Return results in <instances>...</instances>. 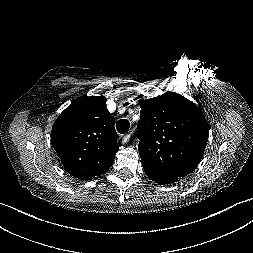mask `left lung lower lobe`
<instances>
[{
	"label": "left lung lower lobe",
	"mask_w": 253,
	"mask_h": 253,
	"mask_svg": "<svg viewBox=\"0 0 253 253\" xmlns=\"http://www.w3.org/2000/svg\"><path fill=\"white\" fill-rule=\"evenodd\" d=\"M143 169L146 173V175L152 180L155 181L158 184H169V183H174L178 180L179 177L175 175H170V174H164V173H159L151 168L143 165Z\"/></svg>",
	"instance_id": "left-lung-lower-lobe-1"
}]
</instances>
